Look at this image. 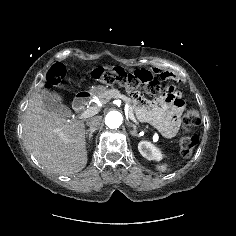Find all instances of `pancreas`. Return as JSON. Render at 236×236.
I'll list each match as a JSON object with an SVG mask.
<instances>
[{"label":"pancreas","mask_w":236,"mask_h":236,"mask_svg":"<svg viewBox=\"0 0 236 236\" xmlns=\"http://www.w3.org/2000/svg\"><path fill=\"white\" fill-rule=\"evenodd\" d=\"M100 99L102 102H107L113 98H121L123 101H127L130 104V110L132 113L135 112L136 110V104L135 102L130 99L129 97L123 95L119 90L117 89H110L104 91L102 94L99 95Z\"/></svg>","instance_id":"pancreas-1"}]
</instances>
